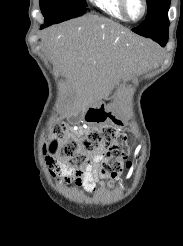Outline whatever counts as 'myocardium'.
<instances>
[{
	"mask_svg": "<svg viewBox=\"0 0 183 246\" xmlns=\"http://www.w3.org/2000/svg\"><path fill=\"white\" fill-rule=\"evenodd\" d=\"M140 4H141V14L138 18L134 19L132 18L130 15H129V12H128V3H129V0H120V6H121V10L125 16V18L130 21V22H138L140 20H142L144 18V16L146 15L147 13V9H148V6H147V1L146 0H139Z\"/></svg>",
	"mask_w": 183,
	"mask_h": 246,
	"instance_id": "myocardium-1",
	"label": "myocardium"
}]
</instances>
